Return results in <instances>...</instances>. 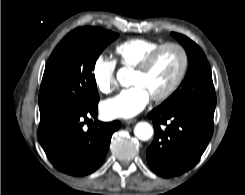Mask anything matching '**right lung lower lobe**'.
Returning <instances> with one entry per match:
<instances>
[{
  "label": "right lung lower lobe",
  "instance_id": "98d812e1",
  "mask_svg": "<svg viewBox=\"0 0 245 195\" xmlns=\"http://www.w3.org/2000/svg\"><path fill=\"white\" fill-rule=\"evenodd\" d=\"M97 104L87 109L40 117L38 139L59 171L72 176H84L94 172L103 163L112 134L120 128L121 123L95 120L87 131L84 130L88 116L96 118Z\"/></svg>",
  "mask_w": 245,
  "mask_h": 195
}]
</instances>
